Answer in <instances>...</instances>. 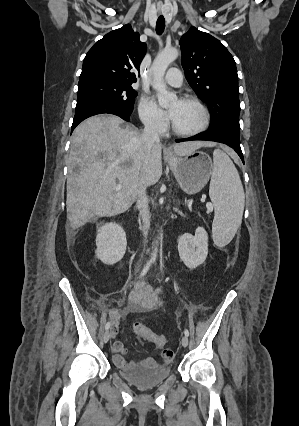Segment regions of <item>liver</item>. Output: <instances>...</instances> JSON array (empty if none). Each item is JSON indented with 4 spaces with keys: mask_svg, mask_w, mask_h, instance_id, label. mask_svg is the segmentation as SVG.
I'll return each mask as SVG.
<instances>
[{
    "mask_svg": "<svg viewBox=\"0 0 299 426\" xmlns=\"http://www.w3.org/2000/svg\"><path fill=\"white\" fill-rule=\"evenodd\" d=\"M212 146L195 141L176 144L173 149L176 155L186 156ZM67 164V220L77 229L95 216L125 212L137 199L142 183L156 184L162 175V146L147 147L143 134L117 116L97 115L73 132ZM116 180L122 185L120 190Z\"/></svg>",
    "mask_w": 299,
    "mask_h": 426,
    "instance_id": "liver-1",
    "label": "liver"
}]
</instances>
